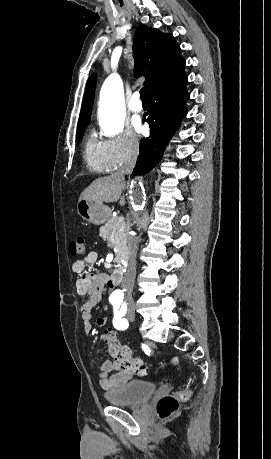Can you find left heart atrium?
I'll use <instances>...</instances> for the list:
<instances>
[{"mask_svg":"<svg viewBox=\"0 0 271 459\" xmlns=\"http://www.w3.org/2000/svg\"><path fill=\"white\" fill-rule=\"evenodd\" d=\"M135 129H136L137 132H140V131H141L140 125L136 124V125H135Z\"/></svg>","mask_w":271,"mask_h":459,"instance_id":"left-heart-atrium-1","label":"left heart atrium"}]
</instances>
